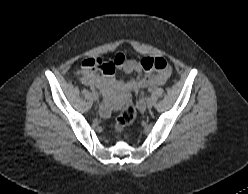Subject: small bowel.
I'll list each match as a JSON object with an SVG mask.
<instances>
[{"mask_svg": "<svg viewBox=\"0 0 248 194\" xmlns=\"http://www.w3.org/2000/svg\"><path fill=\"white\" fill-rule=\"evenodd\" d=\"M145 60L128 59L121 52L117 53L110 62L101 58H88L82 62L77 71V77L83 84L98 88L105 98H109L115 91H138L165 84L171 75V66L167 63V68L163 71L146 70L143 66ZM117 70L136 77L130 80H119L116 78ZM101 113L108 116L110 106L102 105Z\"/></svg>", "mask_w": 248, "mask_h": 194, "instance_id": "c3829d8e", "label": "small bowel"}]
</instances>
